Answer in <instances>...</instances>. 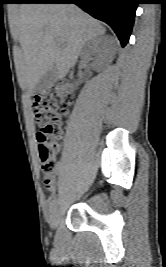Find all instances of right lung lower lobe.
I'll return each mask as SVG.
<instances>
[{"label": "right lung lower lobe", "instance_id": "98d812e1", "mask_svg": "<svg viewBox=\"0 0 166 267\" xmlns=\"http://www.w3.org/2000/svg\"><path fill=\"white\" fill-rule=\"evenodd\" d=\"M20 3H74L112 27L124 47L131 34L139 0H22Z\"/></svg>", "mask_w": 166, "mask_h": 267}]
</instances>
